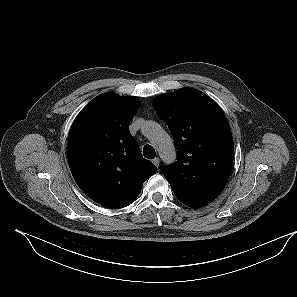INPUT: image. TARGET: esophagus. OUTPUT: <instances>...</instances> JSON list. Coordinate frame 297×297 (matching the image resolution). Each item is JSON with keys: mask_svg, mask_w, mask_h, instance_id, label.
<instances>
[{"mask_svg": "<svg viewBox=\"0 0 297 297\" xmlns=\"http://www.w3.org/2000/svg\"><path fill=\"white\" fill-rule=\"evenodd\" d=\"M152 162L154 163V165H155L156 167H158L159 164H160V159L157 157V158L153 159Z\"/></svg>", "mask_w": 297, "mask_h": 297, "instance_id": "esophagus-1", "label": "esophagus"}]
</instances>
